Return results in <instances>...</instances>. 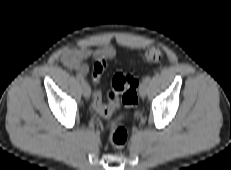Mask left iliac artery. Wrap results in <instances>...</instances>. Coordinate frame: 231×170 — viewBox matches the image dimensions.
Returning <instances> with one entry per match:
<instances>
[{"label": "left iliac artery", "instance_id": "44dca946", "mask_svg": "<svg viewBox=\"0 0 231 170\" xmlns=\"http://www.w3.org/2000/svg\"><path fill=\"white\" fill-rule=\"evenodd\" d=\"M150 79H151V77L148 75L143 80L148 83L150 81Z\"/></svg>", "mask_w": 231, "mask_h": 170}]
</instances>
